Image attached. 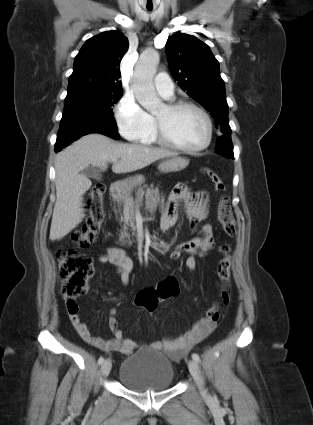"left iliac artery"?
Listing matches in <instances>:
<instances>
[{
  "instance_id": "obj_1",
  "label": "left iliac artery",
  "mask_w": 313,
  "mask_h": 425,
  "mask_svg": "<svg viewBox=\"0 0 313 425\" xmlns=\"http://www.w3.org/2000/svg\"><path fill=\"white\" fill-rule=\"evenodd\" d=\"M192 358H193V360H195L196 362H200V358H199V355H198V354L193 353V354H192Z\"/></svg>"
}]
</instances>
